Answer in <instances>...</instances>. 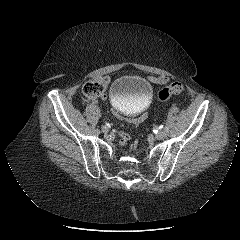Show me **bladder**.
I'll return each mask as SVG.
<instances>
[{"label":"bladder","mask_w":240,"mask_h":240,"mask_svg":"<svg viewBox=\"0 0 240 240\" xmlns=\"http://www.w3.org/2000/svg\"><path fill=\"white\" fill-rule=\"evenodd\" d=\"M152 93L151 84L146 79L135 75L119 77L109 89L114 107L127 116L145 109L150 102Z\"/></svg>","instance_id":"obj_1"}]
</instances>
